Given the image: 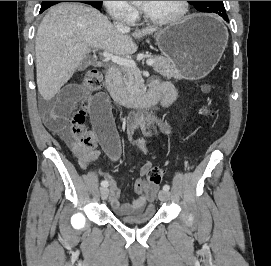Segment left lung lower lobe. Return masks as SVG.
<instances>
[{
    "label": "left lung lower lobe",
    "mask_w": 271,
    "mask_h": 266,
    "mask_svg": "<svg viewBox=\"0 0 271 266\" xmlns=\"http://www.w3.org/2000/svg\"><path fill=\"white\" fill-rule=\"evenodd\" d=\"M220 15L225 21H228V17L226 13L218 14Z\"/></svg>",
    "instance_id": "0a47b994"
}]
</instances>
